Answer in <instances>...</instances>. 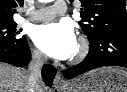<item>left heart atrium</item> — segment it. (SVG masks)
I'll return each mask as SVG.
<instances>
[{
    "instance_id": "39dd6f15",
    "label": "left heart atrium",
    "mask_w": 127,
    "mask_h": 92,
    "mask_svg": "<svg viewBox=\"0 0 127 92\" xmlns=\"http://www.w3.org/2000/svg\"><path fill=\"white\" fill-rule=\"evenodd\" d=\"M34 41L48 56L65 60L72 57L77 49L73 27L66 23H48L36 28Z\"/></svg>"
}]
</instances>
